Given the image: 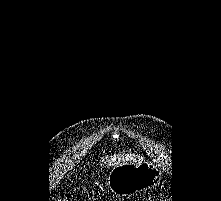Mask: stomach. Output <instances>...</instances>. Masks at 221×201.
I'll use <instances>...</instances> for the list:
<instances>
[{
	"mask_svg": "<svg viewBox=\"0 0 221 201\" xmlns=\"http://www.w3.org/2000/svg\"><path fill=\"white\" fill-rule=\"evenodd\" d=\"M162 170L150 161L128 162L114 166L107 184L118 196H129L150 189L160 183Z\"/></svg>",
	"mask_w": 221,
	"mask_h": 201,
	"instance_id": "1",
	"label": "stomach"
}]
</instances>
